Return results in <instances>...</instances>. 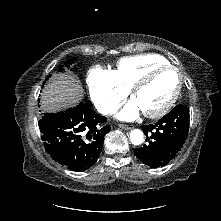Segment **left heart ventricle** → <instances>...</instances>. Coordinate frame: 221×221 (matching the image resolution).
Instances as JSON below:
<instances>
[{
	"label": "left heart ventricle",
	"mask_w": 221,
	"mask_h": 221,
	"mask_svg": "<svg viewBox=\"0 0 221 221\" xmlns=\"http://www.w3.org/2000/svg\"><path fill=\"white\" fill-rule=\"evenodd\" d=\"M177 83L176 72L171 70L160 72L136 94L134 101L142 111H156L168 102Z\"/></svg>",
	"instance_id": "obj_1"
}]
</instances>
